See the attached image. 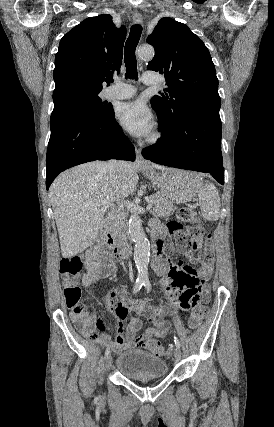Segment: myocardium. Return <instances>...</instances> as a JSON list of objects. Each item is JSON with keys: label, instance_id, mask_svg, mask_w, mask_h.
Listing matches in <instances>:
<instances>
[{"label": "myocardium", "instance_id": "myocardium-1", "mask_svg": "<svg viewBox=\"0 0 274 427\" xmlns=\"http://www.w3.org/2000/svg\"><path fill=\"white\" fill-rule=\"evenodd\" d=\"M166 140L165 131L158 127L155 131L147 138L146 145L149 147H158L164 143Z\"/></svg>", "mask_w": 274, "mask_h": 427}]
</instances>
